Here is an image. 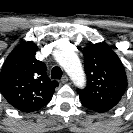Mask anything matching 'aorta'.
<instances>
[{
    "label": "aorta",
    "instance_id": "762f6f07",
    "mask_svg": "<svg viewBox=\"0 0 133 133\" xmlns=\"http://www.w3.org/2000/svg\"><path fill=\"white\" fill-rule=\"evenodd\" d=\"M55 60L63 67L77 87H84L85 74L78 56L69 48L59 46L53 53Z\"/></svg>",
    "mask_w": 133,
    "mask_h": 133
}]
</instances>
